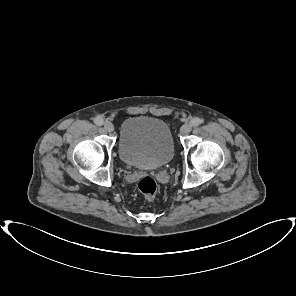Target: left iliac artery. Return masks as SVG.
<instances>
[{
    "label": "left iliac artery",
    "mask_w": 296,
    "mask_h": 296,
    "mask_svg": "<svg viewBox=\"0 0 296 296\" xmlns=\"http://www.w3.org/2000/svg\"><path fill=\"white\" fill-rule=\"evenodd\" d=\"M203 122L202 119L196 117V118H193L190 123L192 126L196 127V126H199L201 123Z\"/></svg>",
    "instance_id": "1"
}]
</instances>
